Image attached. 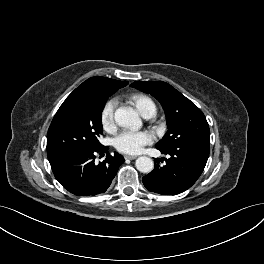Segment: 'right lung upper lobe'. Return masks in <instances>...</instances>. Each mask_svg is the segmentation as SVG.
<instances>
[{
  "instance_id": "cb5924a9",
  "label": "right lung upper lobe",
  "mask_w": 264,
  "mask_h": 264,
  "mask_svg": "<svg viewBox=\"0 0 264 264\" xmlns=\"http://www.w3.org/2000/svg\"><path fill=\"white\" fill-rule=\"evenodd\" d=\"M127 84V81H119L105 77H91L73 92L109 97Z\"/></svg>"
}]
</instances>
